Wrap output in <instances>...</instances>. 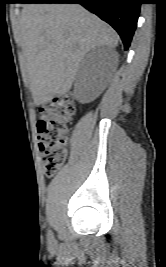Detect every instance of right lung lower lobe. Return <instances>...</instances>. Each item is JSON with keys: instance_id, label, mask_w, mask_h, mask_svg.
I'll list each match as a JSON object with an SVG mask.
<instances>
[{"instance_id": "obj_1", "label": "right lung lower lobe", "mask_w": 166, "mask_h": 267, "mask_svg": "<svg viewBox=\"0 0 166 267\" xmlns=\"http://www.w3.org/2000/svg\"><path fill=\"white\" fill-rule=\"evenodd\" d=\"M21 3H79L109 23L128 49L139 17L141 0H20Z\"/></svg>"}]
</instances>
